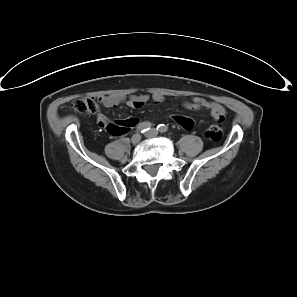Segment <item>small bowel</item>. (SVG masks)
Masks as SVG:
<instances>
[{
  "label": "small bowel",
  "instance_id": "c3829d8e",
  "mask_svg": "<svg viewBox=\"0 0 297 297\" xmlns=\"http://www.w3.org/2000/svg\"><path fill=\"white\" fill-rule=\"evenodd\" d=\"M149 97L146 95L133 96L130 98H121L113 96H104L101 101L105 107L115 108L120 104H126L133 109H140L148 102ZM152 100L159 103L163 100L161 95H153ZM189 110L207 109L210 111V115L216 121H223L226 115L225 108L219 103L205 100L199 97H194L190 102H186L184 105ZM172 119L184 129H191L194 125L193 120L190 117L185 116H173ZM137 120L134 118L118 120L115 123L110 124L107 118L103 115H99L98 119L94 121L96 128L105 127L108 132L112 134H123L128 129L134 126Z\"/></svg>",
  "mask_w": 297,
  "mask_h": 297
}]
</instances>
